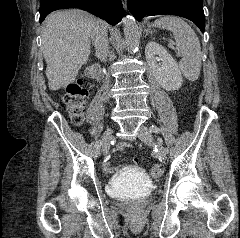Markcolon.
<instances>
[{
  "label": "colon",
  "mask_w": 240,
  "mask_h": 238,
  "mask_svg": "<svg viewBox=\"0 0 240 238\" xmlns=\"http://www.w3.org/2000/svg\"><path fill=\"white\" fill-rule=\"evenodd\" d=\"M100 74L99 66L96 64L91 65L82 72L78 79L70 83L66 88L64 100L70 119L75 125H80L84 120L85 104L89 94L84 80H97ZM150 172L153 177H160L164 169L162 165L156 164L152 166Z\"/></svg>",
  "instance_id": "obj_1"
}]
</instances>
